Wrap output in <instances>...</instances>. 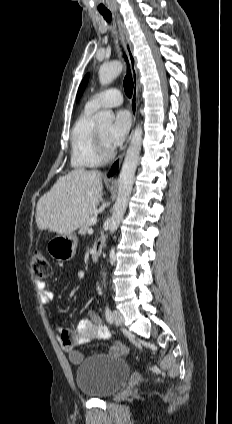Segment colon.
Returning a JSON list of instances; mask_svg holds the SVG:
<instances>
[{"label": "colon", "instance_id": "1", "mask_svg": "<svg viewBox=\"0 0 232 424\" xmlns=\"http://www.w3.org/2000/svg\"><path fill=\"white\" fill-rule=\"evenodd\" d=\"M32 271L34 276L40 279H49L52 276V266L41 250H36L32 256ZM112 345L117 351L126 353L130 351V346L123 339L112 340Z\"/></svg>", "mask_w": 232, "mask_h": 424}]
</instances>
